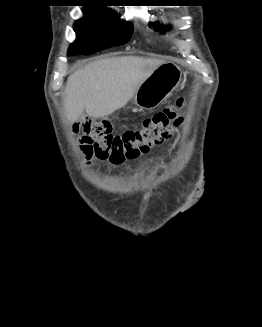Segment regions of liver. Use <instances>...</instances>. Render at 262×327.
Instances as JSON below:
<instances>
[{
    "mask_svg": "<svg viewBox=\"0 0 262 327\" xmlns=\"http://www.w3.org/2000/svg\"><path fill=\"white\" fill-rule=\"evenodd\" d=\"M156 58L112 57L94 61L71 74L64 92V108L69 122L85 112L104 118L124 107L139 86L158 66Z\"/></svg>",
    "mask_w": 262,
    "mask_h": 327,
    "instance_id": "6515ba94",
    "label": "liver"
}]
</instances>
